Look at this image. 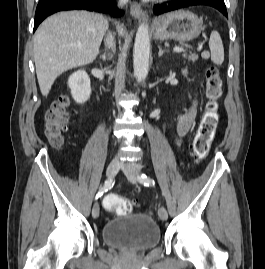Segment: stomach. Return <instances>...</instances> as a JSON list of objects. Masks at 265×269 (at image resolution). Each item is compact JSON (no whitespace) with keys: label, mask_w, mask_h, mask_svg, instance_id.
<instances>
[{"label":"stomach","mask_w":265,"mask_h":269,"mask_svg":"<svg viewBox=\"0 0 265 269\" xmlns=\"http://www.w3.org/2000/svg\"><path fill=\"white\" fill-rule=\"evenodd\" d=\"M204 29L203 20L188 10H178L159 17L154 24L157 39L190 41Z\"/></svg>","instance_id":"1"}]
</instances>
